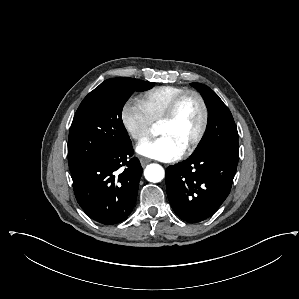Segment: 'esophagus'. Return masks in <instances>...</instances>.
<instances>
[{"mask_svg":"<svg viewBox=\"0 0 299 299\" xmlns=\"http://www.w3.org/2000/svg\"><path fill=\"white\" fill-rule=\"evenodd\" d=\"M150 162H151V160L148 158H140V163L143 167L146 166Z\"/></svg>","mask_w":299,"mask_h":299,"instance_id":"1","label":"esophagus"}]
</instances>
